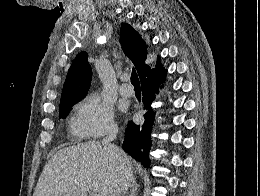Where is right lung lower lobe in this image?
Segmentation results:
<instances>
[{"instance_id": "obj_1", "label": "right lung lower lobe", "mask_w": 260, "mask_h": 196, "mask_svg": "<svg viewBox=\"0 0 260 196\" xmlns=\"http://www.w3.org/2000/svg\"><path fill=\"white\" fill-rule=\"evenodd\" d=\"M165 72L159 77L147 79L142 82V101L144 109L147 112L144 114L145 122L142 125H136L132 121L128 123L125 131V140L123 142V149L134 159L141 162L145 167H149V151L151 146V131L155 114L150 107L154 100V94L158 93L160 85L164 81Z\"/></svg>"}]
</instances>
